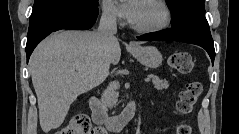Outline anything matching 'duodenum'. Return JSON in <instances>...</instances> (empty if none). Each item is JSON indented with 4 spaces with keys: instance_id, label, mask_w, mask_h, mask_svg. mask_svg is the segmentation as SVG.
I'll return each instance as SVG.
<instances>
[{
    "instance_id": "1",
    "label": "duodenum",
    "mask_w": 239,
    "mask_h": 134,
    "mask_svg": "<svg viewBox=\"0 0 239 134\" xmlns=\"http://www.w3.org/2000/svg\"><path fill=\"white\" fill-rule=\"evenodd\" d=\"M88 105L92 113V119L97 125L105 127L111 132H119L127 126L136 115L137 103L131 101L118 115H109L96 97L91 96Z\"/></svg>"
}]
</instances>
